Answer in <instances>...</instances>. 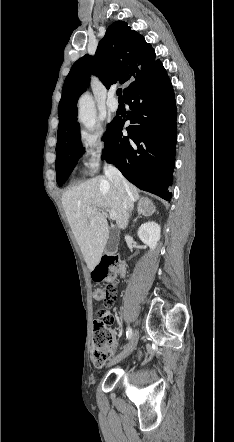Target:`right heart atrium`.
I'll return each mask as SVG.
<instances>
[{"instance_id":"1","label":"right heart atrium","mask_w":234,"mask_h":442,"mask_svg":"<svg viewBox=\"0 0 234 442\" xmlns=\"http://www.w3.org/2000/svg\"><path fill=\"white\" fill-rule=\"evenodd\" d=\"M85 165L90 172H96L105 157L107 142L105 133L99 129L93 132H85L81 137Z\"/></svg>"}]
</instances>
